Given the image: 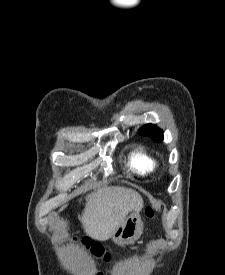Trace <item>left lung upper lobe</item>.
<instances>
[{
    "mask_svg": "<svg viewBox=\"0 0 225 275\" xmlns=\"http://www.w3.org/2000/svg\"><path fill=\"white\" fill-rule=\"evenodd\" d=\"M140 135L148 136L156 142L163 140V132L160 128L152 124H146L139 130Z\"/></svg>",
    "mask_w": 225,
    "mask_h": 275,
    "instance_id": "obj_1",
    "label": "left lung upper lobe"
}]
</instances>
